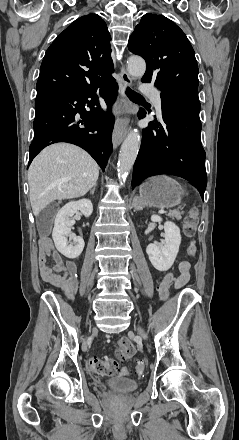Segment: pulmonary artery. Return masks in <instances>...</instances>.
Returning a JSON list of instances; mask_svg holds the SVG:
<instances>
[{
	"mask_svg": "<svg viewBox=\"0 0 239 440\" xmlns=\"http://www.w3.org/2000/svg\"><path fill=\"white\" fill-rule=\"evenodd\" d=\"M151 97L154 101L158 114L161 115V97L159 92L157 91L152 92Z\"/></svg>",
	"mask_w": 239,
	"mask_h": 440,
	"instance_id": "obj_1",
	"label": "pulmonary artery"
}]
</instances>
